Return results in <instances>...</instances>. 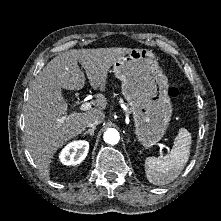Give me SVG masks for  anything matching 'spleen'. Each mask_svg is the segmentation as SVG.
Here are the masks:
<instances>
[{
  "label": "spleen",
  "instance_id": "1",
  "mask_svg": "<svg viewBox=\"0 0 221 221\" xmlns=\"http://www.w3.org/2000/svg\"><path fill=\"white\" fill-rule=\"evenodd\" d=\"M192 137L190 132L179 129L169 154L162 159L148 157L145 160V173L150 183L165 185L174 181L189 160Z\"/></svg>",
  "mask_w": 221,
  "mask_h": 221
}]
</instances>
